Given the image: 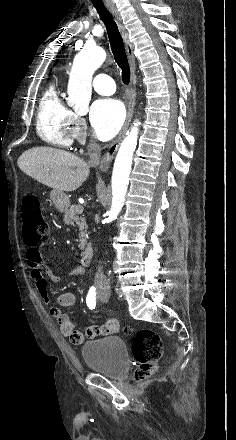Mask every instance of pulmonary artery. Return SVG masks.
I'll list each match as a JSON object with an SVG mask.
<instances>
[{
  "label": "pulmonary artery",
  "mask_w": 236,
  "mask_h": 440,
  "mask_svg": "<svg viewBox=\"0 0 236 440\" xmlns=\"http://www.w3.org/2000/svg\"><path fill=\"white\" fill-rule=\"evenodd\" d=\"M93 88L100 95H111L115 92V83L109 75L100 73L93 79Z\"/></svg>",
  "instance_id": "e3ab8cb5"
}]
</instances>
